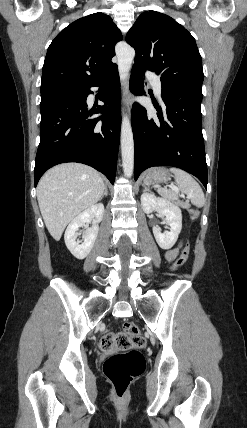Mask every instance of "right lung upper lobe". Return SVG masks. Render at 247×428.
<instances>
[{
	"label": "right lung upper lobe",
	"instance_id": "cb5924a9",
	"mask_svg": "<svg viewBox=\"0 0 247 428\" xmlns=\"http://www.w3.org/2000/svg\"><path fill=\"white\" fill-rule=\"evenodd\" d=\"M122 34L112 18L94 13L63 29L50 44L42 70L41 94L85 89L113 67Z\"/></svg>",
	"mask_w": 247,
	"mask_h": 428
}]
</instances>
